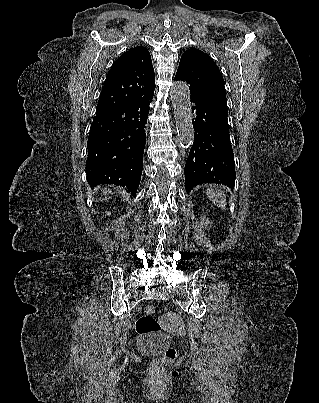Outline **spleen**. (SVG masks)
Segmentation results:
<instances>
[{
    "mask_svg": "<svg viewBox=\"0 0 319 403\" xmlns=\"http://www.w3.org/2000/svg\"><path fill=\"white\" fill-rule=\"evenodd\" d=\"M207 197L222 210L226 207V196L224 192L216 186H210L206 191Z\"/></svg>",
    "mask_w": 319,
    "mask_h": 403,
    "instance_id": "obj_1",
    "label": "spleen"
}]
</instances>
